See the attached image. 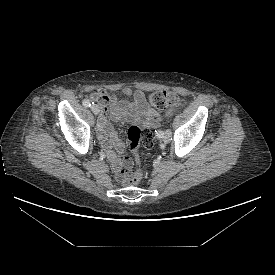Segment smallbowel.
<instances>
[{"instance_id": "1", "label": "small bowel", "mask_w": 275, "mask_h": 275, "mask_svg": "<svg viewBox=\"0 0 275 275\" xmlns=\"http://www.w3.org/2000/svg\"><path fill=\"white\" fill-rule=\"evenodd\" d=\"M123 94L131 100L119 99L106 92L93 93L91 99L100 103L102 112L98 118V137L107 151L112 163L113 171L118 180H124L125 170L122 169L120 154L125 150V145L119 140L117 128L110 122L125 121L139 125L141 128H156L161 121V114L150 108L146 102L145 94L141 90L125 87ZM126 165H130V158H125Z\"/></svg>"}]
</instances>
